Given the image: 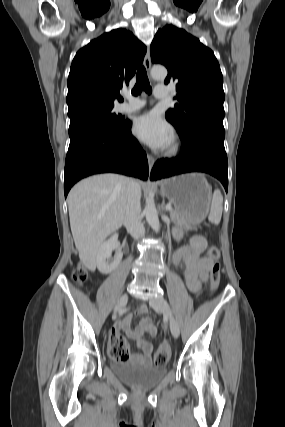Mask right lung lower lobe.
Listing matches in <instances>:
<instances>
[{"label": "right lung lower lobe", "mask_w": 285, "mask_h": 427, "mask_svg": "<svg viewBox=\"0 0 285 427\" xmlns=\"http://www.w3.org/2000/svg\"><path fill=\"white\" fill-rule=\"evenodd\" d=\"M114 172L146 180L149 175L145 152L131 134V122L113 130L88 125L70 136L65 162L64 192L89 175Z\"/></svg>", "instance_id": "obj_1"}]
</instances>
